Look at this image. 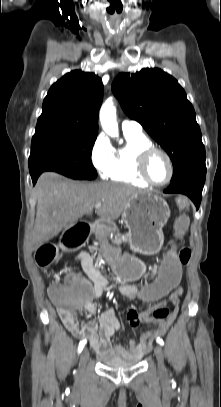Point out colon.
Segmentation results:
<instances>
[{
	"instance_id": "obj_1",
	"label": "colon",
	"mask_w": 221,
	"mask_h": 407,
	"mask_svg": "<svg viewBox=\"0 0 221 407\" xmlns=\"http://www.w3.org/2000/svg\"><path fill=\"white\" fill-rule=\"evenodd\" d=\"M178 209L186 210L188 208V199L185 196H179L176 199ZM187 219L180 216L175 223V234L181 239L187 230ZM94 229L93 222L89 220H77L68 225L61 236V248L64 253H72V249H82L85 246L86 239H90L91 232ZM59 256V250L55 245L47 244L39 248L36 254L37 263L42 266L52 264ZM191 257L189 248L178 249L174 246L169 252H164L163 258L159 261V271L157 277H152L150 283H146L145 290L139 293L141 300H146L148 305L154 306L157 300L165 297L164 292H175L176 286L181 285L183 275L182 264H187ZM49 296L52 302L61 313H74L82 304L81 288L78 285L76 277L72 274L67 277L66 284H53L49 287ZM167 307L155 308L151 314L145 317L147 321L154 317L162 318L167 314Z\"/></svg>"
}]
</instances>
